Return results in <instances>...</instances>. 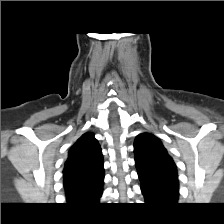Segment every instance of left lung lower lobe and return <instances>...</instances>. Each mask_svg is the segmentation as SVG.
<instances>
[{
  "label": "left lung lower lobe",
  "instance_id": "0a47b994",
  "mask_svg": "<svg viewBox=\"0 0 224 224\" xmlns=\"http://www.w3.org/2000/svg\"><path fill=\"white\" fill-rule=\"evenodd\" d=\"M141 190L147 204H177L179 195L178 179L168 176L145 175L138 172Z\"/></svg>",
  "mask_w": 224,
  "mask_h": 224
}]
</instances>
